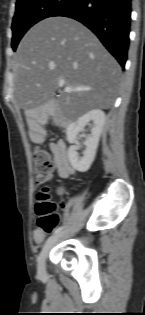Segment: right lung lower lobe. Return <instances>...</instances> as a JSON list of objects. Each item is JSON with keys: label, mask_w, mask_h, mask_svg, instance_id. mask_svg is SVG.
<instances>
[{"label": "right lung lower lobe", "mask_w": 145, "mask_h": 315, "mask_svg": "<svg viewBox=\"0 0 145 315\" xmlns=\"http://www.w3.org/2000/svg\"><path fill=\"white\" fill-rule=\"evenodd\" d=\"M52 16L78 20L91 29L124 67L129 48L131 0H70Z\"/></svg>", "instance_id": "obj_1"}]
</instances>
